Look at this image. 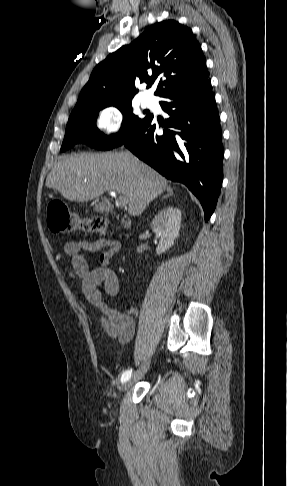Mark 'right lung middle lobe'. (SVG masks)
Masks as SVG:
<instances>
[{
	"instance_id": "1",
	"label": "right lung middle lobe",
	"mask_w": 287,
	"mask_h": 486,
	"mask_svg": "<svg viewBox=\"0 0 287 486\" xmlns=\"http://www.w3.org/2000/svg\"><path fill=\"white\" fill-rule=\"evenodd\" d=\"M107 106L117 107L123 114L122 126L118 133L105 136L96 127V119L101 109ZM133 114L131 99L107 102L90 106L84 110L72 112L66 127L61 151L73 147L76 143H85L100 150H110L121 145L134 131L147 120Z\"/></svg>"
}]
</instances>
